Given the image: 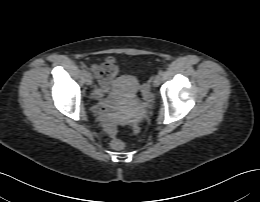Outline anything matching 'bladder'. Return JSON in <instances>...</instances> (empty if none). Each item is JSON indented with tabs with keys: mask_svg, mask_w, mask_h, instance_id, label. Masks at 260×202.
Returning <instances> with one entry per match:
<instances>
[{
	"mask_svg": "<svg viewBox=\"0 0 260 202\" xmlns=\"http://www.w3.org/2000/svg\"><path fill=\"white\" fill-rule=\"evenodd\" d=\"M140 88L139 81L130 75H122L115 79L112 85L114 96L129 107L132 115L138 116L142 110L138 105L137 93Z\"/></svg>",
	"mask_w": 260,
	"mask_h": 202,
	"instance_id": "obj_1",
	"label": "bladder"
}]
</instances>
